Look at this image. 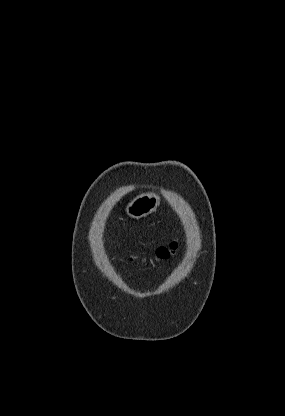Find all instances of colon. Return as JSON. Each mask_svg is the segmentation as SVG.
<instances>
[{
	"instance_id": "obj_1",
	"label": "colon",
	"mask_w": 285,
	"mask_h": 416,
	"mask_svg": "<svg viewBox=\"0 0 285 416\" xmlns=\"http://www.w3.org/2000/svg\"><path fill=\"white\" fill-rule=\"evenodd\" d=\"M177 245L175 242L171 243L169 246H160L156 250V257L161 260L169 258L171 253L176 249Z\"/></svg>"
}]
</instances>
